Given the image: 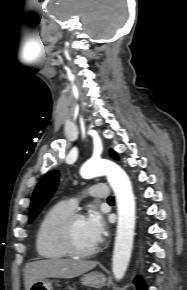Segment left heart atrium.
Returning a JSON list of instances; mask_svg holds the SVG:
<instances>
[{
  "instance_id": "39dd6f15",
  "label": "left heart atrium",
  "mask_w": 187,
  "mask_h": 290,
  "mask_svg": "<svg viewBox=\"0 0 187 290\" xmlns=\"http://www.w3.org/2000/svg\"><path fill=\"white\" fill-rule=\"evenodd\" d=\"M86 224L95 242H101L107 230L102 216L98 212L92 211L86 218Z\"/></svg>"
}]
</instances>
